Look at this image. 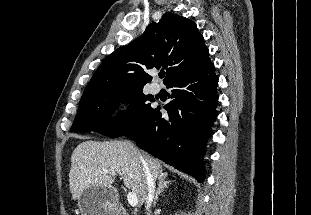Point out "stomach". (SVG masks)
<instances>
[{"mask_svg": "<svg viewBox=\"0 0 311 215\" xmlns=\"http://www.w3.org/2000/svg\"><path fill=\"white\" fill-rule=\"evenodd\" d=\"M81 215H115L118 201L115 190L106 186H91L78 199Z\"/></svg>", "mask_w": 311, "mask_h": 215, "instance_id": "obj_1", "label": "stomach"}]
</instances>
